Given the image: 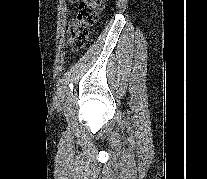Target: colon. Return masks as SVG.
<instances>
[{
  "instance_id": "1",
  "label": "colon",
  "mask_w": 207,
  "mask_h": 179,
  "mask_svg": "<svg viewBox=\"0 0 207 179\" xmlns=\"http://www.w3.org/2000/svg\"><path fill=\"white\" fill-rule=\"evenodd\" d=\"M105 0H80L68 27L69 44L80 48L88 40L91 27L97 22Z\"/></svg>"
}]
</instances>
